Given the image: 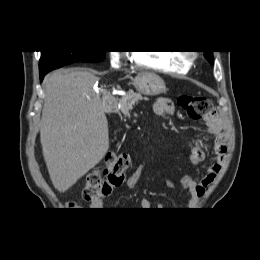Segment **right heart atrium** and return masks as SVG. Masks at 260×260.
Instances as JSON below:
<instances>
[{
    "label": "right heart atrium",
    "mask_w": 260,
    "mask_h": 260,
    "mask_svg": "<svg viewBox=\"0 0 260 260\" xmlns=\"http://www.w3.org/2000/svg\"><path fill=\"white\" fill-rule=\"evenodd\" d=\"M111 64L118 66L121 60V55L118 52H112L110 55Z\"/></svg>",
    "instance_id": "obj_1"
}]
</instances>
